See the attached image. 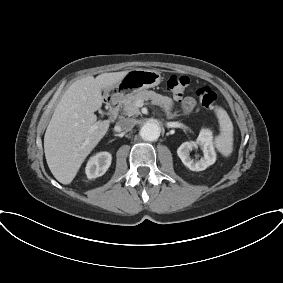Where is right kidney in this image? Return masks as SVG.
Returning a JSON list of instances; mask_svg holds the SVG:
<instances>
[{
  "label": "right kidney",
  "mask_w": 283,
  "mask_h": 283,
  "mask_svg": "<svg viewBox=\"0 0 283 283\" xmlns=\"http://www.w3.org/2000/svg\"><path fill=\"white\" fill-rule=\"evenodd\" d=\"M112 156L108 152H100L91 157L86 165V175L89 179L102 176L111 165Z\"/></svg>",
  "instance_id": "obj_1"
}]
</instances>
